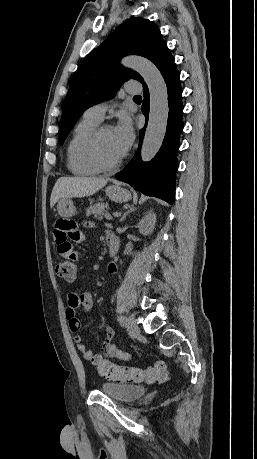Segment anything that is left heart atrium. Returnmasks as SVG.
Listing matches in <instances>:
<instances>
[{"label": "left heart atrium", "instance_id": "39dd6f15", "mask_svg": "<svg viewBox=\"0 0 257 459\" xmlns=\"http://www.w3.org/2000/svg\"><path fill=\"white\" fill-rule=\"evenodd\" d=\"M113 135L121 155H124L134 141V128L131 119L122 116L113 128Z\"/></svg>", "mask_w": 257, "mask_h": 459}]
</instances>
